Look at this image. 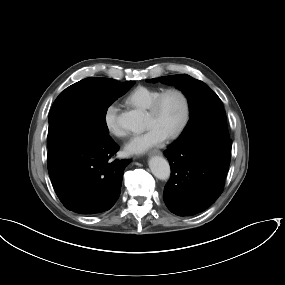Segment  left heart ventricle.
I'll use <instances>...</instances> for the list:
<instances>
[{
    "label": "left heart ventricle",
    "instance_id": "b2bd125f",
    "mask_svg": "<svg viewBox=\"0 0 285 285\" xmlns=\"http://www.w3.org/2000/svg\"><path fill=\"white\" fill-rule=\"evenodd\" d=\"M184 113V104L176 93L167 95L157 114L148 113L147 127H157L166 136L172 133L180 124Z\"/></svg>",
    "mask_w": 285,
    "mask_h": 285
}]
</instances>
